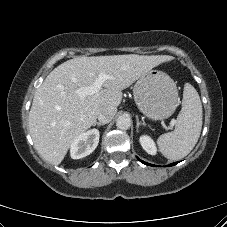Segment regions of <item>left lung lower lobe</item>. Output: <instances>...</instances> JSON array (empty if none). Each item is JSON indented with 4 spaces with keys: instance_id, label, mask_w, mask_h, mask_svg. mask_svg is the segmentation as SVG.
Instances as JSON below:
<instances>
[{
    "instance_id": "0a47b994",
    "label": "left lung lower lobe",
    "mask_w": 227,
    "mask_h": 227,
    "mask_svg": "<svg viewBox=\"0 0 227 227\" xmlns=\"http://www.w3.org/2000/svg\"><path fill=\"white\" fill-rule=\"evenodd\" d=\"M138 160L141 161L142 163L146 164V165L154 166V165H151V164H149V163H147V162H144V161L140 160L139 158H138ZM175 164H177V163H172V164H170L169 166H173V165H175Z\"/></svg>"
}]
</instances>
